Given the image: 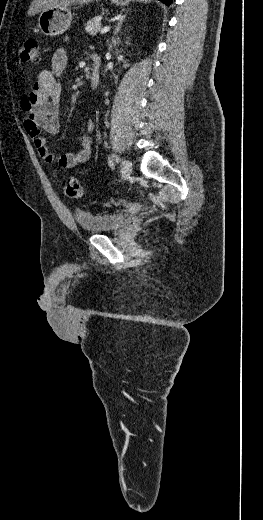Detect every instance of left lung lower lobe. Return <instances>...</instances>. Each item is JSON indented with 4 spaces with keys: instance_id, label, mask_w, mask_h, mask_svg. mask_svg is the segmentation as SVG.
<instances>
[{
    "instance_id": "0a47b994",
    "label": "left lung lower lobe",
    "mask_w": 263,
    "mask_h": 520,
    "mask_svg": "<svg viewBox=\"0 0 263 520\" xmlns=\"http://www.w3.org/2000/svg\"><path fill=\"white\" fill-rule=\"evenodd\" d=\"M160 1H162L166 5H170V3L172 2V0H160Z\"/></svg>"
}]
</instances>
